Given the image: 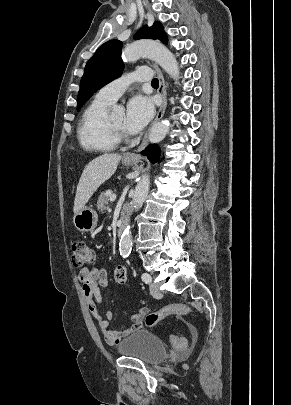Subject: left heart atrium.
<instances>
[{"instance_id": "1", "label": "left heart atrium", "mask_w": 291, "mask_h": 405, "mask_svg": "<svg viewBox=\"0 0 291 405\" xmlns=\"http://www.w3.org/2000/svg\"><path fill=\"white\" fill-rule=\"evenodd\" d=\"M154 108L151 100L145 96L137 95L127 104L125 115V128L131 134L140 132L151 120Z\"/></svg>"}]
</instances>
